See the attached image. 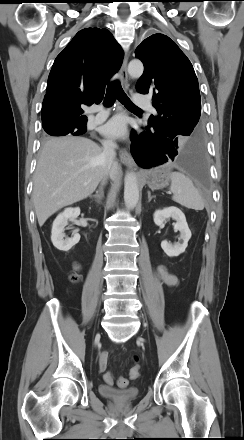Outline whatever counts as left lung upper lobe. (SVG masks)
Masks as SVG:
<instances>
[{"instance_id": "left-lung-upper-lobe-1", "label": "left lung upper lobe", "mask_w": 244, "mask_h": 440, "mask_svg": "<svg viewBox=\"0 0 244 440\" xmlns=\"http://www.w3.org/2000/svg\"><path fill=\"white\" fill-rule=\"evenodd\" d=\"M135 54L144 64V73L136 90L153 96L157 114L148 124H157L165 134L178 141L203 134L198 79L189 59L168 36L153 34L136 48Z\"/></svg>"}]
</instances>
